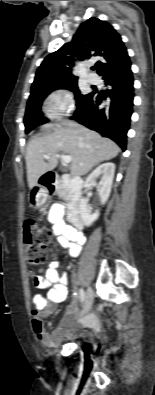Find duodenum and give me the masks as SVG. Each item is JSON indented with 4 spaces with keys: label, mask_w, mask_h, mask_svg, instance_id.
<instances>
[{
    "label": "duodenum",
    "mask_w": 155,
    "mask_h": 395,
    "mask_svg": "<svg viewBox=\"0 0 155 395\" xmlns=\"http://www.w3.org/2000/svg\"><path fill=\"white\" fill-rule=\"evenodd\" d=\"M42 185L50 193L60 190L66 191L69 221L75 228L81 229L83 223L80 215V201L84 185L83 180L79 177H71L49 172L42 177Z\"/></svg>",
    "instance_id": "1"
}]
</instances>
